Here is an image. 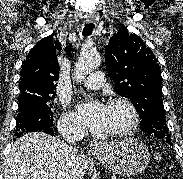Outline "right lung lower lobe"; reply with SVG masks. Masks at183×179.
<instances>
[{"mask_svg": "<svg viewBox=\"0 0 183 179\" xmlns=\"http://www.w3.org/2000/svg\"><path fill=\"white\" fill-rule=\"evenodd\" d=\"M40 131H43V132L48 133V134H50V135H53V134H54V132H53V129H52V128H47V129L40 130ZM33 132H36V131H33ZM23 134H25V133H23ZM23 134H22V135H23ZM22 135H20V136H16V138H19V137H21Z\"/></svg>", "mask_w": 183, "mask_h": 179, "instance_id": "98d812e1", "label": "right lung lower lobe"}]
</instances>
